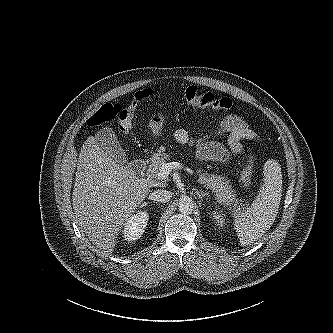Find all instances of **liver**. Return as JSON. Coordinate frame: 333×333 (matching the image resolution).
<instances>
[{
    "label": "liver",
    "mask_w": 333,
    "mask_h": 333,
    "mask_svg": "<svg viewBox=\"0 0 333 333\" xmlns=\"http://www.w3.org/2000/svg\"><path fill=\"white\" fill-rule=\"evenodd\" d=\"M150 191V184L106 154L89 137L78 158L72 205L81 231L110 256L124 222Z\"/></svg>",
    "instance_id": "liver-1"
}]
</instances>
